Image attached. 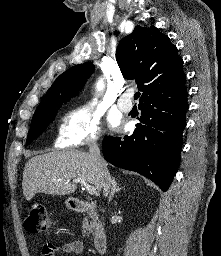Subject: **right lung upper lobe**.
<instances>
[{
    "label": "right lung upper lobe",
    "mask_w": 221,
    "mask_h": 256,
    "mask_svg": "<svg viewBox=\"0 0 221 256\" xmlns=\"http://www.w3.org/2000/svg\"><path fill=\"white\" fill-rule=\"evenodd\" d=\"M116 60L122 75L135 79L143 92L139 104L156 96L186 91L183 60L168 36L156 27L136 26L120 41ZM93 69L91 62L71 67L55 80L40 104L57 98L70 100L82 89Z\"/></svg>",
    "instance_id": "1"
}]
</instances>
